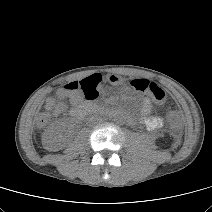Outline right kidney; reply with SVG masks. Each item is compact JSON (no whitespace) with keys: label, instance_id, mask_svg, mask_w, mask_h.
Listing matches in <instances>:
<instances>
[{"label":"right kidney","instance_id":"obj_1","mask_svg":"<svg viewBox=\"0 0 212 212\" xmlns=\"http://www.w3.org/2000/svg\"><path fill=\"white\" fill-rule=\"evenodd\" d=\"M56 138V134L53 131H49V133L45 136V141L54 140Z\"/></svg>","mask_w":212,"mask_h":212}]
</instances>
